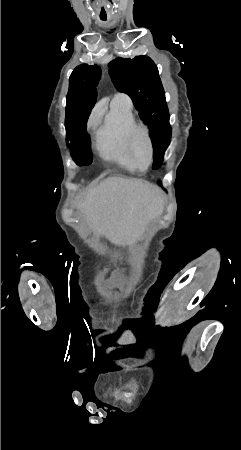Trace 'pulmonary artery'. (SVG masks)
Listing matches in <instances>:
<instances>
[{
  "mask_svg": "<svg viewBox=\"0 0 241 450\" xmlns=\"http://www.w3.org/2000/svg\"><path fill=\"white\" fill-rule=\"evenodd\" d=\"M116 99L122 100V101H126V102H129V98H128L126 95H117V96L115 97V100H116Z\"/></svg>",
  "mask_w": 241,
  "mask_h": 450,
  "instance_id": "pulmonary-artery-1",
  "label": "pulmonary artery"
}]
</instances>
